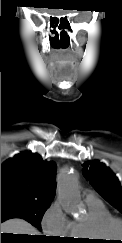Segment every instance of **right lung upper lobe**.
Masks as SVG:
<instances>
[{
  "instance_id": "1",
  "label": "right lung upper lobe",
  "mask_w": 122,
  "mask_h": 243,
  "mask_svg": "<svg viewBox=\"0 0 122 243\" xmlns=\"http://www.w3.org/2000/svg\"><path fill=\"white\" fill-rule=\"evenodd\" d=\"M56 164L37 153L21 152L1 165V196L13 195L51 202L55 196Z\"/></svg>"
}]
</instances>
